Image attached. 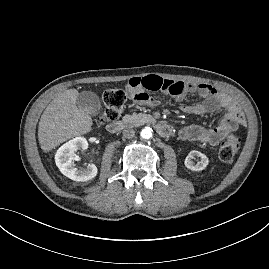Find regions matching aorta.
<instances>
[{
  "instance_id": "1",
  "label": "aorta",
  "mask_w": 269,
  "mask_h": 269,
  "mask_svg": "<svg viewBox=\"0 0 269 269\" xmlns=\"http://www.w3.org/2000/svg\"><path fill=\"white\" fill-rule=\"evenodd\" d=\"M140 134L143 139H150L152 137V129L150 127H145L141 130Z\"/></svg>"
}]
</instances>
